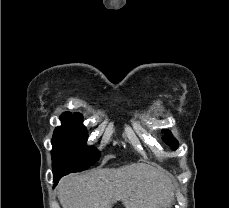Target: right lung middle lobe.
<instances>
[{
  "mask_svg": "<svg viewBox=\"0 0 229 208\" xmlns=\"http://www.w3.org/2000/svg\"><path fill=\"white\" fill-rule=\"evenodd\" d=\"M60 119L62 126L55 129L52 138L53 176L86 170L100 155L86 144L88 132L83 118L61 116Z\"/></svg>",
  "mask_w": 229,
  "mask_h": 208,
  "instance_id": "right-lung-middle-lobe-1",
  "label": "right lung middle lobe"
}]
</instances>
